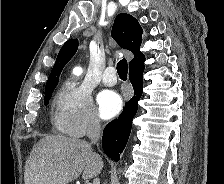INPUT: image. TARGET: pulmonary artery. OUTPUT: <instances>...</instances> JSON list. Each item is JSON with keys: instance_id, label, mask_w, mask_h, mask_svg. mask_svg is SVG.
I'll use <instances>...</instances> for the list:
<instances>
[{"instance_id": "e3ab8cb5", "label": "pulmonary artery", "mask_w": 224, "mask_h": 184, "mask_svg": "<svg viewBox=\"0 0 224 184\" xmlns=\"http://www.w3.org/2000/svg\"><path fill=\"white\" fill-rule=\"evenodd\" d=\"M102 82L106 86H114L117 83V77H116V69L112 66H109L103 76H102Z\"/></svg>"}]
</instances>
